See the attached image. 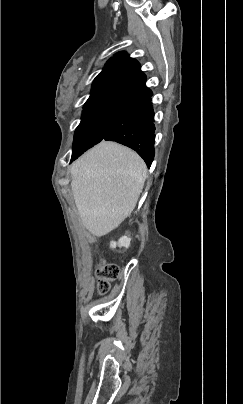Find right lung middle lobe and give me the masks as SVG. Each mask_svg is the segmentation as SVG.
<instances>
[{"label":"right lung middle lobe","instance_id":"dd1d6c3e","mask_svg":"<svg viewBox=\"0 0 243 404\" xmlns=\"http://www.w3.org/2000/svg\"><path fill=\"white\" fill-rule=\"evenodd\" d=\"M126 106L124 103L107 102L84 107L81 122L75 130L71 162L103 140Z\"/></svg>","mask_w":243,"mask_h":404}]
</instances>
